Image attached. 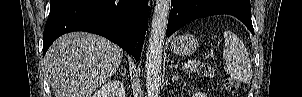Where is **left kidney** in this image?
Here are the masks:
<instances>
[{"instance_id": "1", "label": "left kidney", "mask_w": 302, "mask_h": 97, "mask_svg": "<svg viewBox=\"0 0 302 97\" xmlns=\"http://www.w3.org/2000/svg\"><path fill=\"white\" fill-rule=\"evenodd\" d=\"M193 97H207V95L205 93L202 92H196Z\"/></svg>"}]
</instances>
